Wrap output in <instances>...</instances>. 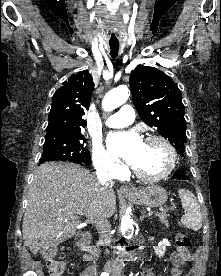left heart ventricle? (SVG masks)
Masks as SVG:
<instances>
[{
	"label": "left heart ventricle",
	"mask_w": 221,
	"mask_h": 276,
	"mask_svg": "<svg viewBox=\"0 0 221 276\" xmlns=\"http://www.w3.org/2000/svg\"><path fill=\"white\" fill-rule=\"evenodd\" d=\"M168 156L165 148L159 142L144 143L139 161L135 167L145 174H157L167 165Z\"/></svg>",
	"instance_id": "left-heart-ventricle-1"
}]
</instances>
